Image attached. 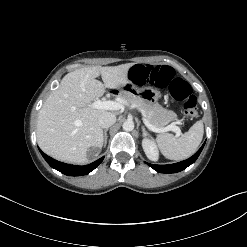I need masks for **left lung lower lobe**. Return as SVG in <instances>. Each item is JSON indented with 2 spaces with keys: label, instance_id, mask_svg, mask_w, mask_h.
<instances>
[{
  "label": "left lung lower lobe",
  "instance_id": "1",
  "mask_svg": "<svg viewBox=\"0 0 247 247\" xmlns=\"http://www.w3.org/2000/svg\"><path fill=\"white\" fill-rule=\"evenodd\" d=\"M205 143L201 146V148L190 158L187 160L174 163V164H169V165H154V164H149L147 163L150 167H152L154 170H156L159 173H176L180 172L184 169H186L188 166H190L192 163L196 161L198 156L200 155Z\"/></svg>",
  "mask_w": 247,
  "mask_h": 247
}]
</instances>
